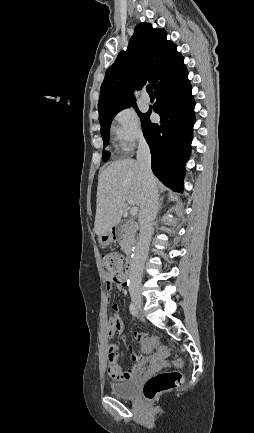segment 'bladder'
<instances>
[{
	"mask_svg": "<svg viewBox=\"0 0 254 433\" xmlns=\"http://www.w3.org/2000/svg\"><path fill=\"white\" fill-rule=\"evenodd\" d=\"M138 388V378L133 377L123 382H113L109 384V390L112 395L118 398H132L135 396Z\"/></svg>",
	"mask_w": 254,
	"mask_h": 433,
	"instance_id": "bladder-1",
	"label": "bladder"
}]
</instances>
